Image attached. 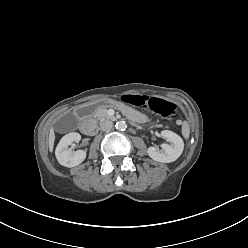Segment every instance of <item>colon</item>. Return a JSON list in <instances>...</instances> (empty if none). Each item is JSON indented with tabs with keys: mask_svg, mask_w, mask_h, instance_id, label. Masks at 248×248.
<instances>
[{
	"mask_svg": "<svg viewBox=\"0 0 248 248\" xmlns=\"http://www.w3.org/2000/svg\"><path fill=\"white\" fill-rule=\"evenodd\" d=\"M132 96L133 95H123L122 99L126 100L127 97H131L129 99L130 103L143 108H148L166 119H174L177 115V106L173 102L158 97L149 98L146 96Z\"/></svg>",
	"mask_w": 248,
	"mask_h": 248,
	"instance_id": "colon-1",
	"label": "colon"
}]
</instances>
